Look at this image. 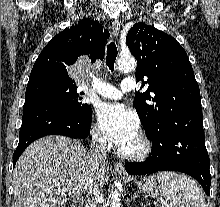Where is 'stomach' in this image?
Segmentation results:
<instances>
[{"label": "stomach", "mask_w": 220, "mask_h": 207, "mask_svg": "<svg viewBox=\"0 0 220 207\" xmlns=\"http://www.w3.org/2000/svg\"><path fill=\"white\" fill-rule=\"evenodd\" d=\"M136 183L139 189L150 197H157L162 193L161 182L152 176H149L144 180L137 181Z\"/></svg>", "instance_id": "stomach-1"}]
</instances>
